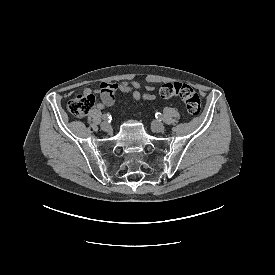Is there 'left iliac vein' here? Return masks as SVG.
Returning a JSON list of instances; mask_svg holds the SVG:
<instances>
[{"mask_svg":"<svg viewBox=\"0 0 275 275\" xmlns=\"http://www.w3.org/2000/svg\"><path fill=\"white\" fill-rule=\"evenodd\" d=\"M151 127L156 132H162L165 129L164 124L159 121H153Z\"/></svg>","mask_w":275,"mask_h":275,"instance_id":"left-iliac-vein-1","label":"left iliac vein"}]
</instances>
